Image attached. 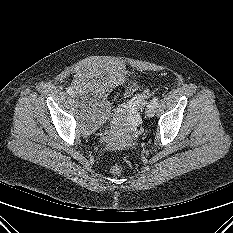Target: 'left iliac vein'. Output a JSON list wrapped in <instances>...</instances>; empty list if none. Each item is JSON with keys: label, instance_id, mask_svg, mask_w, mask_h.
<instances>
[{"label": "left iliac vein", "instance_id": "obj_1", "mask_svg": "<svg viewBox=\"0 0 233 233\" xmlns=\"http://www.w3.org/2000/svg\"><path fill=\"white\" fill-rule=\"evenodd\" d=\"M155 113V107L153 106L152 102L148 104L146 108V115L147 117H153Z\"/></svg>", "mask_w": 233, "mask_h": 233}]
</instances>
